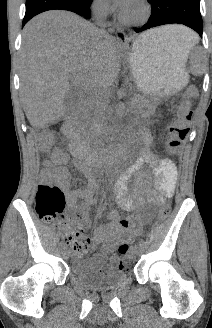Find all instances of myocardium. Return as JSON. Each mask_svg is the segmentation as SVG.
Wrapping results in <instances>:
<instances>
[{
	"mask_svg": "<svg viewBox=\"0 0 212 328\" xmlns=\"http://www.w3.org/2000/svg\"><path fill=\"white\" fill-rule=\"evenodd\" d=\"M134 3L140 8L141 14L138 17H130L125 11L121 13V20L127 25H139L146 21L151 14V7L147 0H135Z\"/></svg>",
	"mask_w": 212,
	"mask_h": 328,
	"instance_id": "myocardium-1",
	"label": "myocardium"
}]
</instances>
